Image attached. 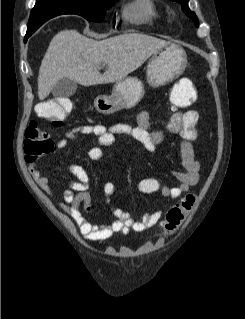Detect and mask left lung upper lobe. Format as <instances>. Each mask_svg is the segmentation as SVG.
<instances>
[{
    "mask_svg": "<svg viewBox=\"0 0 245 319\" xmlns=\"http://www.w3.org/2000/svg\"><path fill=\"white\" fill-rule=\"evenodd\" d=\"M174 1L182 5V9L184 13L196 23V26H198V18L195 15V13L190 11V9L188 8V0H174Z\"/></svg>",
    "mask_w": 245,
    "mask_h": 319,
    "instance_id": "5c2ea615",
    "label": "left lung upper lobe"
}]
</instances>
